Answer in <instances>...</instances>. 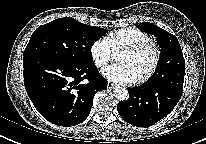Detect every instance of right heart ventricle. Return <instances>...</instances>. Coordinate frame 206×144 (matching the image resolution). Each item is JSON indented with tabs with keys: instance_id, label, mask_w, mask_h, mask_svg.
<instances>
[{
	"instance_id": "e07e8e85",
	"label": "right heart ventricle",
	"mask_w": 206,
	"mask_h": 144,
	"mask_svg": "<svg viewBox=\"0 0 206 144\" xmlns=\"http://www.w3.org/2000/svg\"><path fill=\"white\" fill-rule=\"evenodd\" d=\"M106 39L109 42L113 52H117L129 45L151 41L148 34L133 27H126L111 32L106 36Z\"/></svg>"
}]
</instances>
